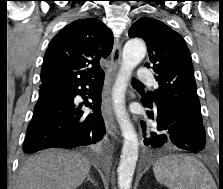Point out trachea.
<instances>
[{"label":"trachea","instance_id":"obj_1","mask_svg":"<svg viewBox=\"0 0 223 189\" xmlns=\"http://www.w3.org/2000/svg\"><path fill=\"white\" fill-rule=\"evenodd\" d=\"M133 83H134V84H141V83H140L139 81H137V80H134Z\"/></svg>","mask_w":223,"mask_h":189}]
</instances>
